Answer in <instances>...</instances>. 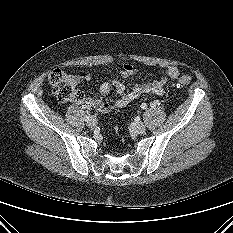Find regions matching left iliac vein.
I'll list each match as a JSON object with an SVG mask.
<instances>
[{
  "label": "left iliac vein",
  "mask_w": 233,
  "mask_h": 233,
  "mask_svg": "<svg viewBox=\"0 0 233 233\" xmlns=\"http://www.w3.org/2000/svg\"><path fill=\"white\" fill-rule=\"evenodd\" d=\"M131 129L136 134H142L146 131V126L143 122H135L131 125Z\"/></svg>",
  "instance_id": "obj_1"
}]
</instances>
